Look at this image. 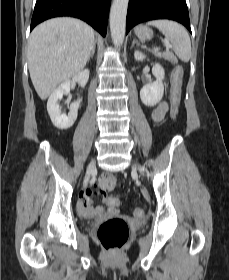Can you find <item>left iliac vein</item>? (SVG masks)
Returning <instances> with one entry per match:
<instances>
[{"instance_id":"left-iliac-vein-1","label":"left iliac vein","mask_w":229,"mask_h":280,"mask_svg":"<svg viewBox=\"0 0 229 280\" xmlns=\"http://www.w3.org/2000/svg\"><path fill=\"white\" fill-rule=\"evenodd\" d=\"M139 168V170L142 172L143 171V169L141 168V167H138Z\"/></svg>"}]
</instances>
